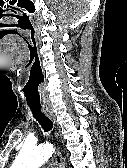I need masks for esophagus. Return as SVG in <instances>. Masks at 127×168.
I'll use <instances>...</instances> for the list:
<instances>
[{
	"label": "esophagus",
	"mask_w": 127,
	"mask_h": 168,
	"mask_svg": "<svg viewBox=\"0 0 127 168\" xmlns=\"http://www.w3.org/2000/svg\"><path fill=\"white\" fill-rule=\"evenodd\" d=\"M43 112L52 120V122L55 124L56 120H55V115H54V112L52 110L51 107H43ZM55 161H56V165H57V168H65V165H64V162H63V158L60 154V152H58L56 154V157H55Z\"/></svg>",
	"instance_id": "esophagus-1"
}]
</instances>
